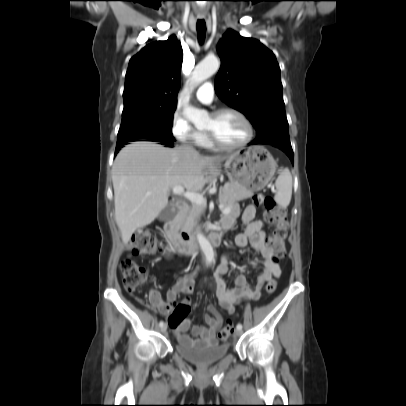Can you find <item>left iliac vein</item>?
I'll return each instance as SVG.
<instances>
[{
    "label": "left iliac vein",
    "instance_id": "1",
    "mask_svg": "<svg viewBox=\"0 0 406 406\" xmlns=\"http://www.w3.org/2000/svg\"><path fill=\"white\" fill-rule=\"evenodd\" d=\"M235 334H236L237 336L241 335V334H242V330L236 329Z\"/></svg>",
    "mask_w": 406,
    "mask_h": 406
}]
</instances>
